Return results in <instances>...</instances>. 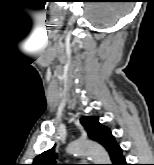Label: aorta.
Instances as JSON below:
<instances>
[{"label":"aorta","instance_id":"aorta-1","mask_svg":"<svg viewBox=\"0 0 154 165\" xmlns=\"http://www.w3.org/2000/svg\"><path fill=\"white\" fill-rule=\"evenodd\" d=\"M67 152L73 156H89L94 164H110L107 151L99 144L90 141H74L67 147Z\"/></svg>","mask_w":154,"mask_h":165}]
</instances>
